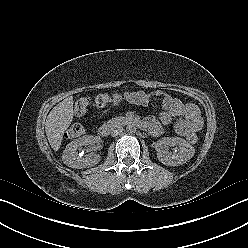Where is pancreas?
<instances>
[{
	"mask_svg": "<svg viewBox=\"0 0 248 248\" xmlns=\"http://www.w3.org/2000/svg\"><path fill=\"white\" fill-rule=\"evenodd\" d=\"M126 120L125 117H115V118H112L110 119L108 122H107V125L108 126H113L115 124H121L122 122H124Z\"/></svg>",
	"mask_w": 248,
	"mask_h": 248,
	"instance_id": "cf45deb5",
	"label": "pancreas"
}]
</instances>
